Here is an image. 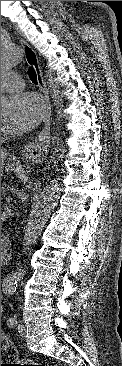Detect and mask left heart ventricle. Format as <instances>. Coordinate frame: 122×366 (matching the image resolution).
Listing matches in <instances>:
<instances>
[{"mask_svg": "<svg viewBox=\"0 0 122 366\" xmlns=\"http://www.w3.org/2000/svg\"><path fill=\"white\" fill-rule=\"evenodd\" d=\"M3 123V117L1 116V124Z\"/></svg>", "mask_w": 122, "mask_h": 366, "instance_id": "obj_1", "label": "left heart ventricle"}]
</instances>
